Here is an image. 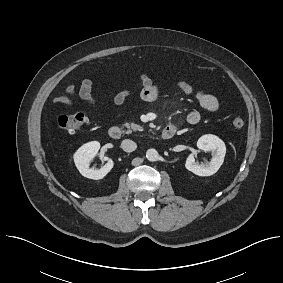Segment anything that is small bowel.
Segmentation results:
<instances>
[{"label":"small bowel","instance_id":"c3829d8e","mask_svg":"<svg viewBox=\"0 0 283 283\" xmlns=\"http://www.w3.org/2000/svg\"><path fill=\"white\" fill-rule=\"evenodd\" d=\"M138 75L140 79L139 95L141 99L146 102L155 101L159 95L158 87L153 83L151 78L146 73L139 72ZM179 87L184 93L192 95L198 102V104L206 111L215 112L218 110L219 102L214 95L205 91H195L192 86L186 82H180ZM91 91L92 83L89 79H85L81 82L78 88L74 85L69 86L67 89V95L55 97L53 99V102L55 104L73 107L74 103L71 99V96H74L87 102L90 105H95V100L92 96ZM129 95L130 90L127 89L118 92L113 98L114 105L116 107L122 106ZM200 119L201 114L197 110L191 111L186 117V121L190 125H196L197 123H199Z\"/></svg>","mask_w":283,"mask_h":283}]
</instances>
